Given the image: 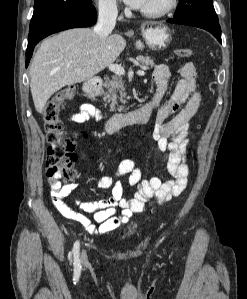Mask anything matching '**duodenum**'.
I'll use <instances>...</instances> for the list:
<instances>
[{
  "instance_id": "1",
  "label": "duodenum",
  "mask_w": 247,
  "mask_h": 299,
  "mask_svg": "<svg viewBox=\"0 0 247 299\" xmlns=\"http://www.w3.org/2000/svg\"><path fill=\"white\" fill-rule=\"evenodd\" d=\"M102 79L100 77H92L83 85V92L90 100H95L97 92L101 87ZM154 114V107L151 103H147L143 107L126 112L117 113L108 117L105 121V130L108 133H114L119 129L134 123L148 122Z\"/></svg>"
}]
</instances>
